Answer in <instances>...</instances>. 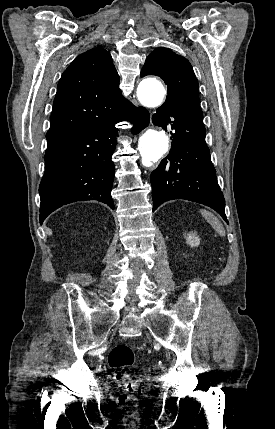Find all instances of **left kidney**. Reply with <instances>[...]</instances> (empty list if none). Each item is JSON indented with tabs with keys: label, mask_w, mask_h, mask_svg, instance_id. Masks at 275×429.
I'll list each match as a JSON object with an SVG mask.
<instances>
[{
	"label": "left kidney",
	"mask_w": 275,
	"mask_h": 429,
	"mask_svg": "<svg viewBox=\"0 0 275 429\" xmlns=\"http://www.w3.org/2000/svg\"><path fill=\"white\" fill-rule=\"evenodd\" d=\"M186 242L191 247H197L200 244V239L195 233L191 232L186 237Z\"/></svg>",
	"instance_id": "obj_1"
}]
</instances>
